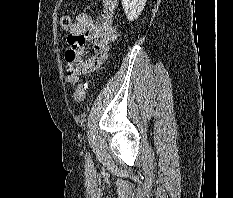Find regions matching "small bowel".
<instances>
[{
    "mask_svg": "<svg viewBox=\"0 0 233 198\" xmlns=\"http://www.w3.org/2000/svg\"><path fill=\"white\" fill-rule=\"evenodd\" d=\"M102 4L98 19L88 13H80L68 30L70 48L66 51L65 58L67 61V54L73 53L77 65V71L68 73L66 77L70 85L76 84L80 75L96 70L107 59L109 45L117 36L116 10L119 0H102ZM86 44L91 46L92 52L84 58Z\"/></svg>",
    "mask_w": 233,
    "mask_h": 198,
    "instance_id": "small-bowel-1",
    "label": "small bowel"
}]
</instances>
